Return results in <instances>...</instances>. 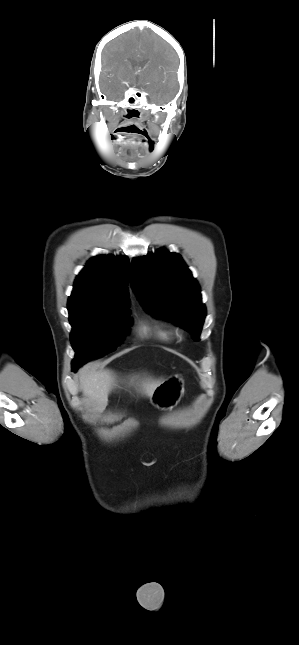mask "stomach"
<instances>
[{
    "instance_id": "0dacf381",
    "label": "stomach",
    "mask_w": 299,
    "mask_h": 645,
    "mask_svg": "<svg viewBox=\"0 0 299 645\" xmlns=\"http://www.w3.org/2000/svg\"><path fill=\"white\" fill-rule=\"evenodd\" d=\"M184 391L183 377L174 375L156 387L150 397L151 404L162 410L172 409L179 403Z\"/></svg>"
}]
</instances>
